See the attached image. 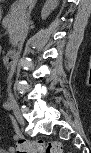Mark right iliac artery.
<instances>
[{
	"mask_svg": "<svg viewBox=\"0 0 91 153\" xmlns=\"http://www.w3.org/2000/svg\"><path fill=\"white\" fill-rule=\"evenodd\" d=\"M3 107H4V109H6V110H10V109H11V106H10V103H9V102H5V103L3 104Z\"/></svg>",
	"mask_w": 91,
	"mask_h": 153,
	"instance_id": "1",
	"label": "right iliac artery"
}]
</instances>
